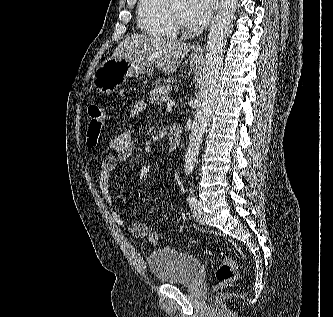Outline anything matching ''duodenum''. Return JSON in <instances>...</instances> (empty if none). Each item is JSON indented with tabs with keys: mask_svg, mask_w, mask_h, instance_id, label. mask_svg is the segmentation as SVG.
<instances>
[{
	"mask_svg": "<svg viewBox=\"0 0 333 317\" xmlns=\"http://www.w3.org/2000/svg\"><path fill=\"white\" fill-rule=\"evenodd\" d=\"M182 129L181 126L177 123L170 125L168 130V150L169 152H175L181 143Z\"/></svg>",
	"mask_w": 333,
	"mask_h": 317,
	"instance_id": "duodenum-1",
	"label": "duodenum"
}]
</instances>
